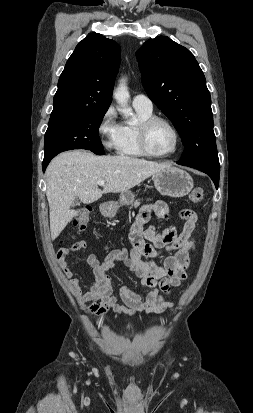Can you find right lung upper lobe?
<instances>
[{
	"mask_svg": "<svg viewBox=\"0 0 253 413\" xmlns=\"http://www.w3.org/2000/svg\"><path fill=\"white\" fill-rule=\"evenodd\" d=\"M120 53L115 41L99 33L80 41L60 75L51 116L108 110Z\"/></svg>",
	"mask_w": 253,
	"mask_h": 413,
	"instance_id": "right-lung-upper-lobe-1",
	"label": "right lung upper lobe"
}]
</instances>
